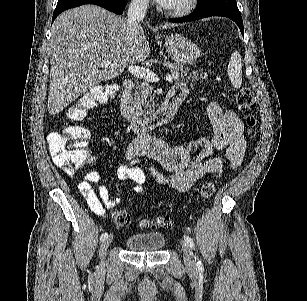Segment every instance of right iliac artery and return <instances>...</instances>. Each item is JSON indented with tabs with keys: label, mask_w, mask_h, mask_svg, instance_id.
<instances>
[{
	"label": "right iliac artery",
	"mask_w": 307,
	"mask_h": 301,
	"mask_svg": "<svg viewBox=\"0 0 307 301\" xmlns=\"http://www.w3.org/2000/svg\"><path fill=\"white\" fill-rule=\"evenodd\" d=\"M107 237H108V233L105 232L101 235L100 240L104 241Z\"/></svg>",
	"instance_id": "right-iliac-artery-1"
}]
</instances>
